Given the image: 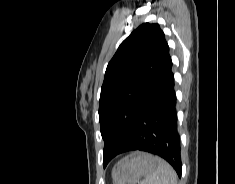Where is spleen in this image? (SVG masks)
Here are the masks:
<instances>
[{"label": "spleen", "instance_id": "obj_1", "mask_svg": "<svg viewBox=\"0 0 235 184\" xmlns=\"http://www.w3.org/2000/svg\"><path fill=\"white\" fill-rule=\"evenodd\" d=\"M157 168L153 174L147 176L139 184H177V174L170 164H167L162 158H157Z\"/></svg>", "mask_w": 235, "mask_h": 184}]
</instances>
